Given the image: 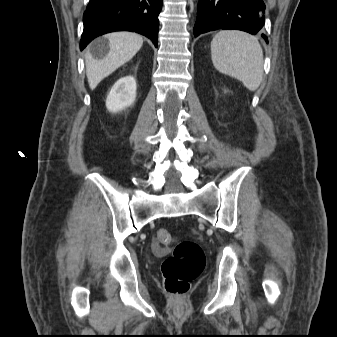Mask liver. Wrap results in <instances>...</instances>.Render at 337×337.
I'll return each mask as SVG.
<instances>
[{"label":"liver","instance_id":"6515ba94","mask_svg":"<svg viewBox=\"0 0 337 337\" xmlns=\"http://www.w3.org/2000/svg\"><path fill=\"white\" fill-rule=\"evenodd\" d=\"M109 52L102 59H95L86 52L85 64L89 87L93 90L116 69L130 61L143 45V38L132 32H114L105 36Z\"/></svg>","mask_w":337,"mask_h":337}]
</instances>
